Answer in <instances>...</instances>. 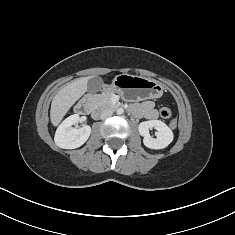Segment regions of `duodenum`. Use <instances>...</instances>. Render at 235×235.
<instances>
[{
    "instance_id": "obj_1",
    "label": "duodenum",
    "mask_w": 235,
    "mask_h": 235,
    "mask_svg": "<svg viewBox=\"0 0 235 235\" xmlns=\"http://www.w3.org/2000/svg\"><path fill=\"white\" fill-rule=\"evenodd\" d=\"M92 99L93 96L91 94L84 97L81 101H79L75 107L77 113H90L92 112ZM93 115H96L95 112H93Z\"/></svg>"
}]
</instances>
